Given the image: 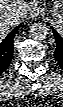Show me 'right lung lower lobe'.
I'll list each match as a JSON object with an SVG mask.
<instances>
[{"instance_id":"1","label":"right lung lower lobe","mask_w":63,"mask_h":107,"mask_svg":"<svg viewBox=\"0 0 63 107\" xmlns=\"http://www.w3.org/2000/svg\"><path fill=\"white\" fill-rule=\"evenodd\" d=\"M21 25L12 30L0 43V74L9 66L13 55V39Z\"/></svg>"}]
</instances>
